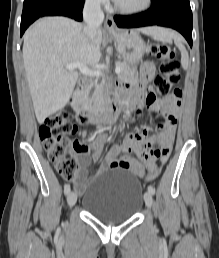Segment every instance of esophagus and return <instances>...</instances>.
<instances>
[{"label":"esophagus","instance_id":"esophagus-1","mask_svg":"<svg viewBox=\"0 0 219 258\" xmlns=\"http://www.w3.org/2000/svg\"><path fill=\"white\" fill-rule=\"evenodd\" d=\"M105 29L108 33H117L119 29L117 28L114 19L111 15H108L105 20Z\"/></svg>","mask_w":219,"mask_h":258}]
</instances>
